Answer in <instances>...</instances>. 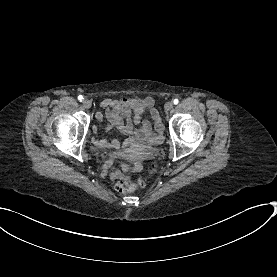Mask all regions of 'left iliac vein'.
Wrapping results in <instances>:
<instances>
[{
  "label": "left iliac vein",
  "mask_w": 277,
  "mask_h": 277,
  "mask_svg": "<svg viewBox=\"0 0 277 277\" xmlns=\"http://www.w3.org/2000/svg\"><path fill=\"white\" fill-rule=\"evenodd\" d=\"M173 106H174L173 102L172 101H168V102H166L164 107H165V110L170 111V110L173 109Z\"/></svg>",
  "instance_id": "obj_1"
}]
</instances>
